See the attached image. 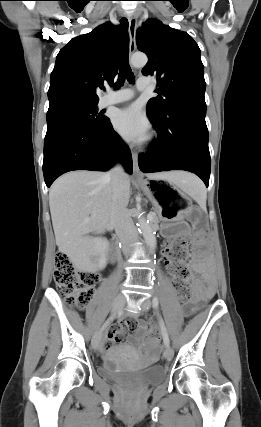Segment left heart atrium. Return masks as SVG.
I'll return each instance as SVG.
<instances>
[{
	"mask_svg": "<svg viewBox=\"0 0 261 427\" xmlns=\"http://www.w3.org/2000/svg\"><path fill=\"white\" fill-rule=\"evenodd\" d=\"M113 125L130 142H143L149 135V121L137 105L117 111L113 117Z\"/></svg>",
	"mask_w": 261,
	"mask_h": 427,
	"instance_id": "obj_1",
	"label": "left heart atrium"
}]
</instances>
